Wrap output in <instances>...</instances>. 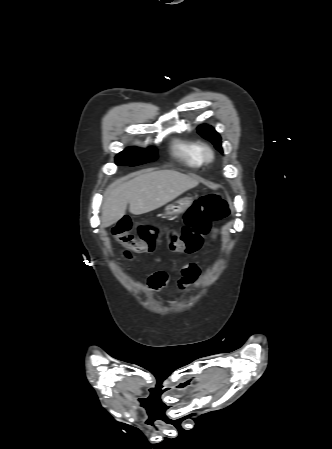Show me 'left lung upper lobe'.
I'll use <instances>...</instances> for the list:
<instances>
[{
  "mask_svg": "<svg viewBox=\"0 0 332 449\" xmlns=\"http://www.w3.org/2000/svg\"><path fill=\"white\" fill-rule=\"evenodd\" d=\"M197 129L199 134H201L205 139L211 141L220 152H223L221 147V138L214 128L207 125H200Z\"/></svg>",
  "mask_w": 332,
  "mask_h": 449,
  "instance_id": "obj_1",
  "label": "left lung upper lobe"
}]
</instances>
